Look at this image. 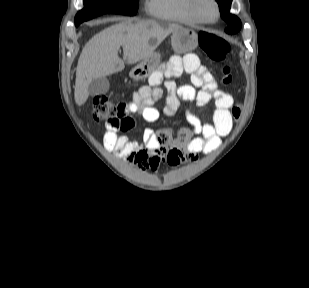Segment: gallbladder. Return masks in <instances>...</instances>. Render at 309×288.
<instances>
[{
    "instance_id": "obj_1",
    "label": "gallbladder",
    "mask_w": 309,
    "mask_h": 288,
    "mask_svg": "<svg viewBox=\"0 0 309 288\" xmlns=\"http://www.w3.org/2000/svg\"><path fill=\"white\" fill-rule=\"evenodd\" d=\"M110 88V83L107 77H99L93 79L88 87L90 96H96L106 93Z\"/></svg>"
}]
</instances>
